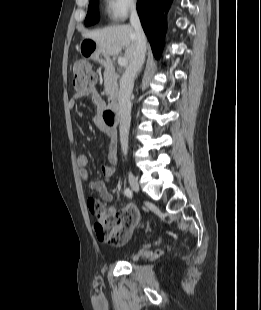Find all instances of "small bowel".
<instances>
[{"instance_id":"small-bowel-1","label":"small bowel","mask_w":261,"mask_h":310,"mask_svg":"<svg viewBox=\"0 0 261 310\" xmlns=\"http://www.w3.org/2000/svg\"><path fill=\"white\" fill-rule=\"evenodd\" d=\"M80 97H89L98 108L102 107L104 104L98 90L95 87H89L83 91L77 92L69 100L70 108H73L75 106L76 99ZM96 125L108 139L107 162L104 163L101 168L105 180L108 181L116 172L117 152L115 133L108 127L104 126L98 118H96ZM88 164V157L85 154H80L77 158V165L79 167V176L83 181H89V172L87 170ZM89 187L91 190L97 192L104 201L111 202L113 200V195L111 194V192L108 191L105 181H90ZM117 212L118 211L116 210V208L110 207L107 211V214L113 216Z\"/></svg>"}]
</instances>
